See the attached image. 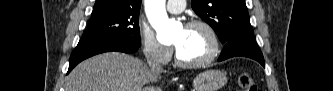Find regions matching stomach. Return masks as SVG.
Returning a JSON list of instances; mask_svg holds the SVG:
<instances>
[{"label":"stomach","mask_w":333,"mask_h":91,"mask_svg":"<svg viewBox=\"0 0 333 91\" xmlns=\"http://www.w3.org/2000/svg\"><path fill=\"white\" fill-rule=\"evenodd\" d=\"M227 83L226 74L220 70H207L193 81L194 91H218Z\"/></svg>","instance_id":"0dacf381"}]
</instances>
